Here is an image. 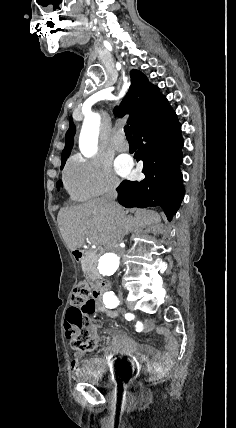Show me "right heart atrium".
<instances>
[{
  "label": "right heart atrium",
  "mask_w": 236,
  "mask_h": 428,
  "mask_svg": "<svg viewBox=\"0 0 236 428\" xmlns=\"http://www.w3.org/2000/svg\"><path fill=\"white\" fill-rule=\"evenodd\" d=\"M64 186L70 198L80 202L117 196L121 182L104 160L76 156L66 167Z\"/></svg>",
  "instance_id": "right-heart-atrium-1"
}]
</instances>
